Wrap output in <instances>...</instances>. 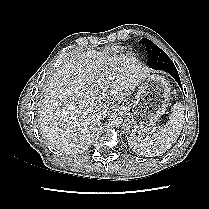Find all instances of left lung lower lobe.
Here are the masks:
<instances>
[{
    "instance_id": "obj_1",
    "label": "left lung lower lobe",
    "mask_w": 209,
    "mask_h": 209,
    "mask_svg": "<svg viewBox=\"0 0 209 209\" xmlns=\"http://www.w3.org/2000/svg\"><path fill=\"white\" fill-rule=\"evenodd\" d=\"M165 72H168L169 74H171L173 76V78L176 80V82L179 84V86L182 88V85H181V82H180V78H179V75H178V72H177V69L174 68V69H167V70H164Z\"/></svg>"
}]
</instances>
